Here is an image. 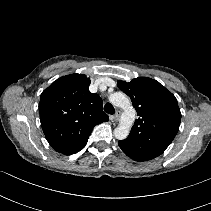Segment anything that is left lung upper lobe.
<instances>
[{
    "label": "left lung upper lobe",
    "mask_w": 211,
    "mask_h": 211,
    "mask_svg": "<svg viewBox=\"0 0 211 211\" xmlns=\"http://www.w3.org/2000/svg\"><path fill=\"white\" fill-rule=\"evenodd\" d=\"M117 86L126 93L139 116L129 136L119 147L135 161H147L161 155L176 136L181 112L175 96L158 81L138 77Z\"/></svg>",
    "instance_id": "1"
}]
</instances>
